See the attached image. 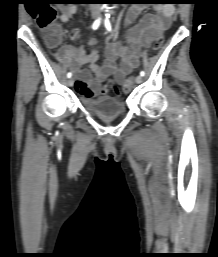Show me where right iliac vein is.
Masks as SVG:
<instances>
[{"instance_id": "63e3f726", "label": "right iliac vein", "mask_w": 218, "mask_h": 257, "mask_svg": "<svg viewBox=\"0 0 218 257\" xmlns=\"http://www.w3.org/2000/svg\"><path fill=\"white\" fill-rule=\"evenodd\" d=\"M67 84L72 87L74 84V79L73 78H69V80L67 81Z\"/></svg>"}]
</instances>
